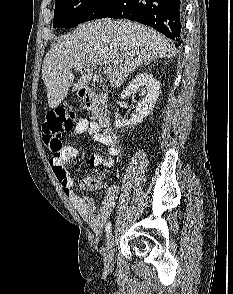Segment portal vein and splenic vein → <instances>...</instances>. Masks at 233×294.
Returning a JSON list of instances; mask_svg holds the SVG:
<instances>
[{
	"mask_svg": "<svg viewBox=\"0 0 233 294\" xmlns=\"http://www.w3.org/2000/svg\"><path fill=\"white\" fill-rule=\"evenodd\" d=\"M82 68H83V65H82V64H78V65L76 66V70H82ZM111 71H112V67H107V68L104 70V73H105V74H110Z\"/></svg>",
	"mask_w": 233,
	"mask_h": 294,
	"instance_id": "portal-vein-and-splenic-vein-1",
	"label": "portal vein and splenic vein"
}]
</instances>
